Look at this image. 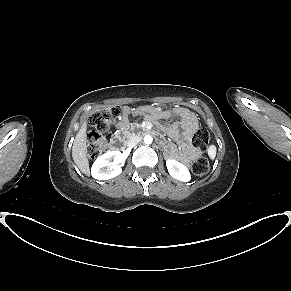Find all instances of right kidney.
Returning a JSON list of instances; mask_svg holds the SVG:
<instances>
[{
  "instance_id": "1",
  "label": "right kidney",
  "mask_w": 291,
  "mask_h": 291,
  "mask_svg": "<svg viewBox=\"0 0 291 291\" xmlns=\"http://www.w3.org/2000/svg\"><path fill=\"white\" fill-rule=\"evenodd\" d=\"M121 160L122 154L120 151L106 152L93 163L91 168L92 177L98 180H108L120 175L122 169L118 164Z\"/></svg>"
}]
</instances>
